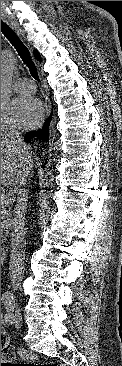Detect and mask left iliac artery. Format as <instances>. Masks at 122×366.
<instances>
[{"label":"left iliac artery","instance_id":"obj_1","mask_svg":"<svg viewBox=\"0 0 122 366\" xmlns=\"http://www.w3.org/2000/svg\"><path fill=\"white\" fill-rule=\"evenodd\" d=\"M5 306H6V314H5V321L9 324H12L13 323V312H14V304H13V301L10 300V301H7L5 302Z\"/></svg>","mask_w":122,"mask_h":366}]
</instances>
